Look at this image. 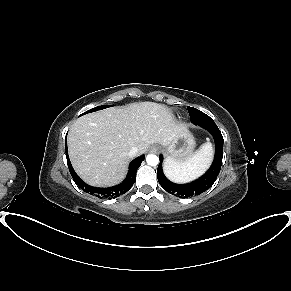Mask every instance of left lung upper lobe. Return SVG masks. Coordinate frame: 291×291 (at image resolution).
<instances>
[{"label":"left lung upper lobe","instance_id":"1","mask_svg":"<svg viewBox=\"0 0 291 291\" xmlns=\"http://www.w3.org/2000/svg\"><path fill=\"white\" fill-rule=\"evenodd\" d=\"M189 114H190V120H194L195 115L198 114V112H200V110L192 108V107H187ZM176 196H179L178 193L175 194Z\"/></svg>","mask_w":291,"mask_h":291}]
</instances>
